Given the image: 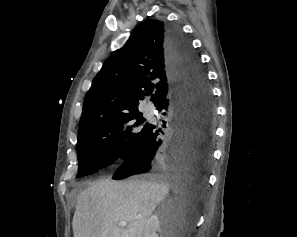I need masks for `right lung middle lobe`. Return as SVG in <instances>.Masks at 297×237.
Returning <instances> with one entry per match:
<instances>
[{
    "label": "right lung middle lobe",
    "instance_id": "right-lung-middle-lobe-1",
    "mask_svg": "<svg viewBox=\"0 0 297 237\" xmlns=\"http://www.w3.org/2000/svg\"><path fill=\"white\" fill-rule=\"evenodd\" d=\"M140 112L112 116L87 128L78 135L77 177L91 174L112 161L128 157L146 138L151 124L144 123ZM127 129L123 130L121 125Z\"/></svg>",
    "mask_w": 297,
    "mask_h": 237
}]
</instances>
